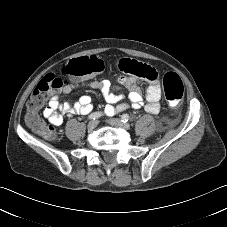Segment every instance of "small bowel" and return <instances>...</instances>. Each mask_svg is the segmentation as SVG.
Masks as SVG:
<instances>
[{"mask_svg": "<svg viewBox=\"0 0 227 227\" xmlns=\"http://www.w3.org/2000/svg\"><path fill=\"white\" fill-rule=\"evenodd\" d=\"M128 61H130V59H121L119 61V69L123 74L117 79L120 86L129 89L126 101H123V96L121 94L113 91L108 79L70 83L65 85L61 92L63 94H69L84 85L100 90L107 102L105 113L108 116L121 113L129 108H139L143 105V99L137 87V78L127 70ZM145 98V110L151 114L159 113L161 89L157 77L153 80H148ZM92 110V98L89 95H83L75 102H60L59 94L55 93L51 96L47 107L43 110V116L48 120L51 126L56 127L62 124L65 115H87L91 113Z\"/></svg>", "mask_w": 227, "mask_h": 227, "instance_id": "1", "label": "small bowel"}]
</instances>
